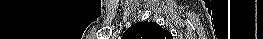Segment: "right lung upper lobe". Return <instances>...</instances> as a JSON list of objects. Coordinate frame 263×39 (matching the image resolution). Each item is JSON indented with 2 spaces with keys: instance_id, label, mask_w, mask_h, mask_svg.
I'll use <instances>...</instances> for the list:
<instances>
[{
  "instance_id": "right-lung-upper-lobe-1",
  "label": "right lung upper lobe",
  "mask_w": 263,
  "mask_h": 39,
  "mask_svg": "<svg viewBox=\"0 0 263 39\" xmlns=\"http://www.w3.org/2000/svg\"><path fill=\"white\" fill-rule=\"evenodd\" d=\"M128 38L135 39H171V33L160 27L156 22L134 24L126 31Z\"/></svg>"
}]
</instances>
